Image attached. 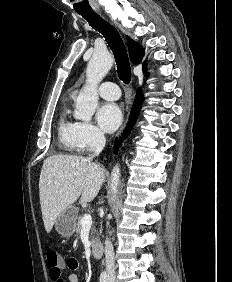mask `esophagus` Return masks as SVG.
I'll return each mask as SVG.
<instances>
[{
    "instance_id": "1",
    "label": "esophagus",
    "mask_w": 232,
    "mask_h": 282,
    "mask_svg": "<svg viewBox=\"0 0 232 282\" xmlns=\"http://www.w3.org/2000/svg\"><path fill=\"white\" fill-rule=\"evenodd\" d=\"M128 116H129V112H128L127 116H126V119H125V121H124L122 127L120 128V130H119L118 133H117V137H119V136L121 135L122 131L124 130V128H125V126H126V123H127V120H128Z\"/></svg>"
}]
</instances>
